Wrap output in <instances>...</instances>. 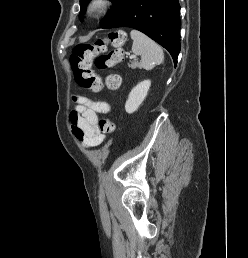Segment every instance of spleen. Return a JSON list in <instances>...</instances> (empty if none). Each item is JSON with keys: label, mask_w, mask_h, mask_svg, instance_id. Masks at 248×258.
<instances>
[{"label": "spleen", "mask_w": 248, "mask_h": 258, "mask_svg": "<svg viewBox=\"0 0 248 258\" xmlns=\"http://www.w3.org/2000/svg\"><path fill=\"white\" fill-rule=\"evenodd\" d=\"M132 52L141 56L140 67L146 70L164 62V53L161 47L148 36L138 30H132Z\"/></svg>", "instance_id": "1"}]
</instances>
